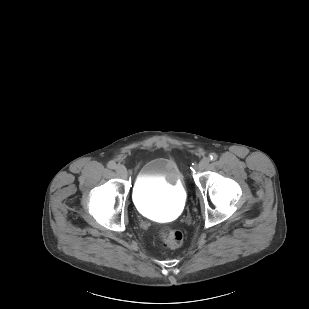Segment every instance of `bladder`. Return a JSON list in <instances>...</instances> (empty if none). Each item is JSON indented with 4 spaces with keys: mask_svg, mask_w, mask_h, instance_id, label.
Masks as SVG:
<instances>
[{
    "mask_svg": "<svg viewBox=\"0 0 309 309\" xmlns=\"http://www.w3.org/2000/svg\"><path fill=\"white\" fill-rule=\"evenodd\" d=\"M185 198L182 174L173 159L154 158L139 170L133 201L141 213L160 220L171 219L180 212Z\"/></svg>",
    "mask_w": 309,
    "mask_h": 309,
    "instance_id": "1",
    "label": "bladder"
}]
</instances>
